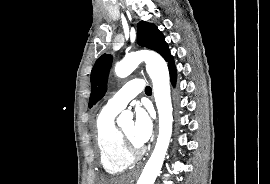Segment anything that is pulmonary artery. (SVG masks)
Returning <instances> with one entry per match:
<instances>
[{"label": "pulmonary artery", "instance_id": "1", "mask_svg": "<svg viewBox=\"0 0 270 184\" xmlns=\"http://www.w3.org/2000/svg\"><path fill=\"white\" fill-rule=\"evenodd\" d=\"M145 83L142 79H133L126 83L113 97H111L106 107L121 111L134 97L144 90Z\"/></svg>", "mask_w": 270, "mask_h": 184}]
</instances>
